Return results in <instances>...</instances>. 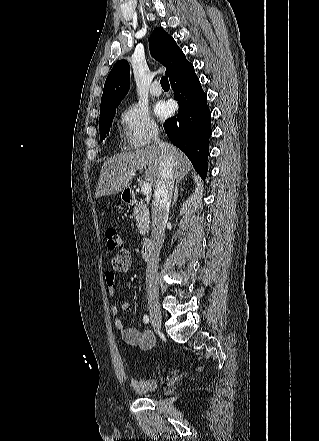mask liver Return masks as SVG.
I'll use <instances>...</instances> for the list:
<instances>
[{"mask_svg":"<svg viewBox=\"0 0 319 441\" xmlns=\"http://www.w3.org/2000/svg\"><path fill=\"white\" fill-rule=\"evenodd\" d=\"M174 179L180 181L192 169L189 159L179 149L172 146ZM160 148L149 146L134 152L121 153L107 159L101 168L96 198L117 194L132 183L131 170L146 168L145 180L155 190L160 180Z\"/></svg>","mask_w":319,"mask_h":441,"instance_id":"1","label":"liver"}]
</instances>
